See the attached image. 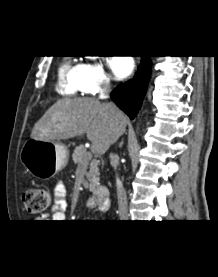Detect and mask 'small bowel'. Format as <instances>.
<instances>
[{
  "instance_id": "c3829d8e",
  "label": "small bowel",
  "mask_w": 218,
  "mask_h": 277,
  "mask_svg": "<svg viewBox=\"0 0 218 277\" xmlns=\"http://www.w3.org/2000/svg\"><path fill=\"white\" fill-rule=\"evenodd\" d=\"M87 206L89 209H95V203L93 200H89L87 202ZM68 207L67 200V191L63 183L59 182L56 184L53 193V206L51 213L43 215L42 218H51L52 220H56V222H61L59 220H64L66 218L65 210Z\"/></svg>"
}]
</instances>
